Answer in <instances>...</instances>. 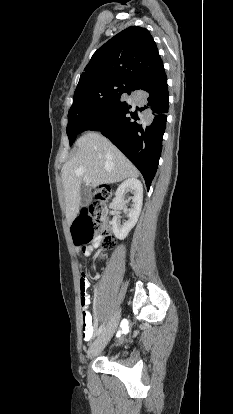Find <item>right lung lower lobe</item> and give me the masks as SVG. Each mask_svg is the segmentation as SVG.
<instances>
[{"label": "right lung lower lobe", "mask_w": 233, "mask_h": 414, "mask_svg": "<svg viewBox=\"0 0 233 414\" xmlns=\"http://www.w3.org/2000/svg\"><path fill=\"white\" fill-rule=\"evenodd\" d=\"M120 98L89 119L81 129L100 131L140 170L149 189L157 170L165 131L169 95L167 77L159 73L131 81Z\"/></svg>", "instance_id": "right-lung-lower-lobe-1"}]
</instances>
